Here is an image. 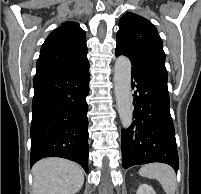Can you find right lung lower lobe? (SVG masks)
<instances>
[{
  "label": "right lung lower lobe",
  "mask_w": 201,
  "mask_h": 194,
  "mask_svg": "<svg viewBox=\"0 0 201 194\" xmlns=\"http://www.w3.org/2000/svg\"><path fill=\"white\" fill-rule=\"evenodd\" d=\"M89 79V66L72 73L35 75L31 165L45 157H62L79 163L88 173Z\"/></svg>",
  "instance_id": "obj_1"
}]
</instances>
